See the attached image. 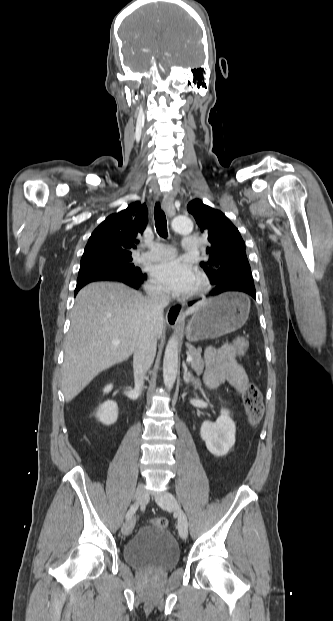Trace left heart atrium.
Returning a JSON list of instances; mask_svg holds the SVG:
<instances>
[{
    "mask_svg": "<svg viewBox=\"0 0 333 621\" xmlns=\"http://www.w3.org/2000/svg\"><path fill=\"white\" fill-rule=\"evenodd\" d=\"M151 276L166 291L175 294L192 292L198 282L197 272L180 259H168L152 267Z\"/></svg>",
    "mask_w": 333,
    "mask_h": 621,
    "instance_id": "left-heart-atrium-1",
    "label": "left heart atrium"
}]
</instances>
